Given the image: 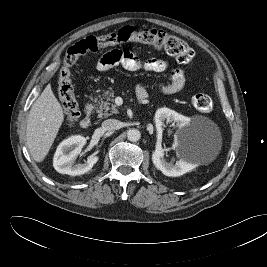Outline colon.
I'll list each match as a JSON object with an SVG mask.
<instances>
[{"label": "colon", "mask_w": 267, "mask_h": 267, "mask_svg": "<svg viewBox=\"0 0 267 267\" xmlns=\"http://www.w3.org/2000/svg\"><path fill=\"white\" fill-rule=\"evenodd\" d=\"M129 42L147 44L155 49L165 51L182 64H190L194 58L193 49L184 40L156 29L136 30L133 27L126 26L113 33L102 36H88L80 40L67 49L58 75V93L64 108L66 121L69 124L75 123L80 115L71 78V67L80 56L86 53ZM192 104L201 113H208L213 107L211 97L204 93L194 95Z\"/></svg>", "instance_id": "1"}]
</instances>
